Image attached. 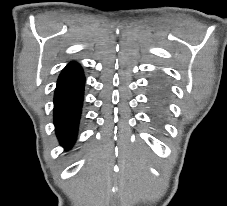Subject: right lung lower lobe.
Wrapping results in <instances>:
<instances>
[{"label": "right lung lower lobe", "mask_w": 227, "mask_h": 206, "mask_svg": "<svg viewBox=\"0 0 227 206\" xmlns=\"http://www.w3.org/2000/svg\"><path fill=\"white\" fill-rule=\"evenodd\" d=\"M85 78L75 62L61 72L54 95V124L61 144L70 148L77 135L83 102Z\"/></svg>", "instance_id": "right-lung-lower-lobe-1"}]
</instances>
